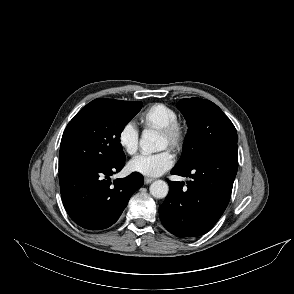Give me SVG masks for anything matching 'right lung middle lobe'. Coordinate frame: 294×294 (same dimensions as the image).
I'll use <instances>...</instances> for the list:
<instances>
[{
    "mask_svg": "<svg viewBox=\"0 0 294 294\" xmlns=\"http://www.w3.org/2000/svg\"><path fill=\"white\" fill-rule=\"evenodd\" d=\"M140 101L95 99L68 123L61 140L59 171L125 160L120 135L140 111Z\"/></svg>",
    "mask_w": 294,
    "mask_h": 294,
    "instance_id": "1",
    "label": "right lung middle lobe"
}]
</instances>
